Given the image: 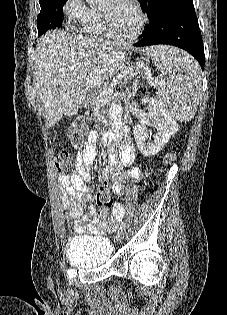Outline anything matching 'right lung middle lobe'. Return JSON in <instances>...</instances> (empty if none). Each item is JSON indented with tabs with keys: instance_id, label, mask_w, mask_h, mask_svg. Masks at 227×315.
Returning a JSON list of instances; mask_svg holds the SVG:
<instances>
[{
	"instance_id": "right-lung-middle-lobe-1",
	"label": "right lung middle lobe",
	"mask_w": 227,
	"mask_h": 315,
	"mask_svg": "<svg viewBox=\"0 0 227 315\" xmlns=\"http://www.w3.org/2000/svg\"><path fill=\"white\" fill-rule=\"evenodd\" d=\"M67 0L39 1L41 11L37 17L38 36L50 29L59 28L62 24V12Z\"/></svg>"
}]
</instances>
